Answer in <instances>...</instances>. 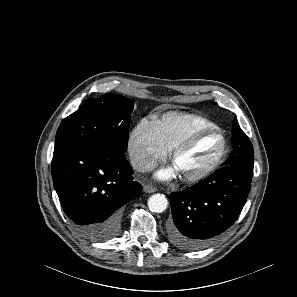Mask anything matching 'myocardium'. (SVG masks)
Returning <instances> with one entry per match:
<instances>
[{
    "label": "myocardium",
    "instance_id": "f54148a6",
    "mask_svg": "<svg viewBox=\"0 0 297 297\" xmlns=\"http://www.w3.org/2000/svg\"><path fill=\"white\" fill-rule=\"evenodd\" d=\"M208 134H216L221 139V143H222L221 151L217 156V158L215 159V161L203 171L190 176H181V179L185 183L193 184V183L200 182L208 178L209 176H211L222 165L228 151L227 139L225 135L222 133V131L217 127L200 128L192 131L190 134L185 136L171 149L169 158H170V161L173 163L175 158L181 152L187 150L197 139Z\"/></svg>",
    "mask_w": 297,
    "mask_h": 297
}]
</instances>
